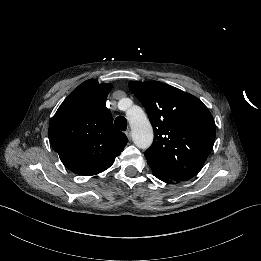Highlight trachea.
<instances>
[{
  "mask_svg": "<svg viewBox=\"0 0 261 261\" xmlns=\"http://www.w3.org/2000/svg\"><path fill=\"white\" fill-rule=\"evenodd\" d=\"M115 126L121 130V131H125L127 129V120L125 117L123 116H118L115 119Z\"/></svg>",
  "mask_w": 261,
  "mask_h": 261,
  "instance_id": "3493384b",
  "label": "trachea"
}]
</instances>
